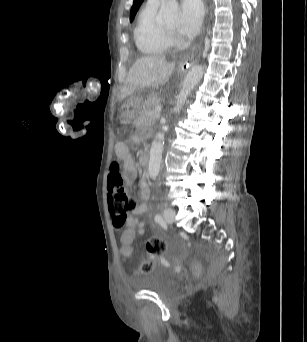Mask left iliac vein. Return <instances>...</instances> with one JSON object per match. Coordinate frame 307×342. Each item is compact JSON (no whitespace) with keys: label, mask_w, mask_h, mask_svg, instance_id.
Wrapping results in <instances>:
<instances>
[{"label":"left iliac vein","mask_w":307,"mask_h":342,"mask_svg":"<svg viewBox=\"0 0 307 342\" xmlns=\"http://www.w3.org/2000/svg\"><path fill=\"white\" fill-rule=\"evenodd\" d=\"M163 216H164V220L167 223H173L175 220V212L170 209V208H166L163 212Z\"/></svg>","instance_id":"4c4485c4"}]
</instances>
